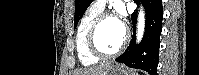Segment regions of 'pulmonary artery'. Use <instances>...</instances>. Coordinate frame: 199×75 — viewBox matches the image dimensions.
<instances>
[{
	"label": "pulmonary artery",
	"instance_id": "e3ab8cb5",
	"mask_svg": "<svg viewBox=\"0 0 199 75\" xmlns=\"http://www.w3.org/2000/svg\"><path fill=\"white\" fill-rule=\"evenodd\" d=\"M105 5H106V1H104V0L94 1V3H93V6L99 8L101 10L104 9Z\"/></svg>",
	"mask_w": 199,
	"mask_h": 75
}]
</instances>
